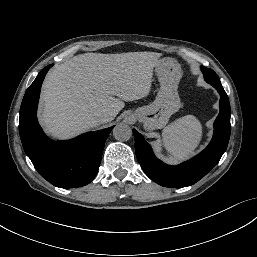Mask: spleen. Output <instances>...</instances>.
I'll return each mask as SVG.
<instances>
[{"label":"spleen","mask_w":257,"mask_h":257,"mask_svg":"<svg viewBox=\"0 0 257 257\" xmlns=\"http://www.w3.org/2000/svg\"><path fill=\"white\" fill-rule=\"evenodd\" d=\"M167 152L177 161L193 155L203 136V127L193 115H187L165 128L162 133Z\"/></svg>","instance_id":"obj_1"}]
</instances>
